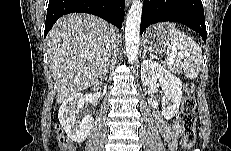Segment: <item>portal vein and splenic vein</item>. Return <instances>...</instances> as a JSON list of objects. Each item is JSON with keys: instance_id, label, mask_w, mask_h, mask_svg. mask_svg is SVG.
Wrapping results in <instances>:
<instances>
[{"instance_id": "1", "label": "portal vein and splenic vein", "mask_w": 231, "mask_h": 151, "mask_svg": "<svg viewBox=\"0 0 231 151\" xmlns=\"http://www.w3.org/2000/svg\"><path fill=\"white\" fill-rule=\"evenodd\" d=\"M177 56V53H171L170 55H169V60H172L174 57H176Z\"/></svg>"}]
</instances>
